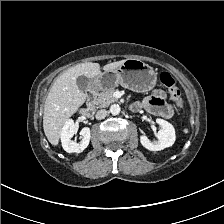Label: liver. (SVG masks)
Here are the masks:
<instances>
[{
  "label": "liver",
  "instance_id": "obj_1",
  "mask_svg": "<svg viewBox=\"0 0 224 224\" xmlns=\"http://www.w3.org/2000/svg\"><path fill=\"white\" fill-rule=\"evenodd\" d=\"M124 61L109 63L103 67V70L116 69ZM100 73L101 70L98 63L88 62L69 68L55 80L47 95L43 115L44 133L52 145H58L65 122L85 102L86 96L78 88L76 78L84 75L94 79Z\"/></svg>",
  "mask_w": 224,
  "mask_h": 224
}]
</instances>
